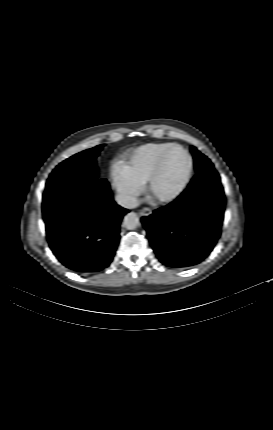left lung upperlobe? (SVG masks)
Returning a JSON list of instances; mask_svg holds the SVG:
<instances>
[{
  "mask_svg": "<svg viewBox=\"0 0 273 430\" xmlns=\"http://www.w3.org/2000/svg\"><path fill=\"white\" fill-rule=\"evenodd\" d=\"M191 151L193 153L194 165L197 174L204 170H214V165L211 161L201 154L194 146L191 147Z\"/></svg>",
  "mask_w": 273,
  "mask_h": 430,
  "instance_id": "obj_1",
  "label": "left lung upper lobe"
}]
</instances>
